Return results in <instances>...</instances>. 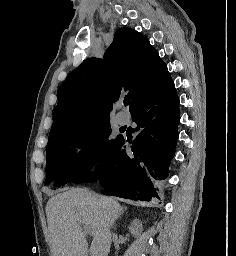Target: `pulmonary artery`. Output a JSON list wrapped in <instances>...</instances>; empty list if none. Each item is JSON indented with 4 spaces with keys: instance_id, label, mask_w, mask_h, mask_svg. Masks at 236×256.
I'll return each instance as SVG.
<instances>
[{
    "instance_id": "e3ab8cb5",
    "label": "pulmonary artery",
    "mask_w": 236,
    "mask_h": 256,
    "mask_svg": "<svg viewBox=\"0 0 236 256\" xmlns=\"http://www.w3.org/2000/svg\"><path fill=\"white\" fill-rule=\"evenodd\" d=\"M118 124L124 125V124H125V121H118Z\"/></svg>"
}]
</instances>
